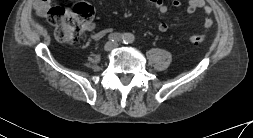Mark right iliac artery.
<instances>
[{
  "label": "right iliac artery",
  "mask_w": 253,
  "mask_h": 138,
  "mask_svg": "<svg viewBox=\"0 0 253 138\" xmlns=\"http://www.w3.org/2000/svg\"><path fill=\"white\" fill-rule=\"evenodd\" d=\"M124 35L120 34V33H112L108 36L109 41L112 42H117L120 41L121 39H123Z\"/></svg>",
  "instance_id": "obj_1"
}]
</instances>
